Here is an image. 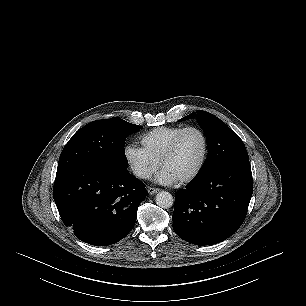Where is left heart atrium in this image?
<instances>
[{
    "mask_svg": "<svg viewBox=\"0 0 306 306\" xmlns=\"http://www.w3.org/2000/svg\"><path fill=\"white\" fill-rule=\"evenodd\" d=\"M156 181L161 184H172L178 181L172 174L167 170L163 169L157 176Z\"/></svg>",
    "mask_w": 306,
    "mask_h": 306,
    "instance_id": "obj_1",
    "label": "left heart atrium"
}]
</instances>
